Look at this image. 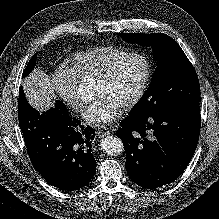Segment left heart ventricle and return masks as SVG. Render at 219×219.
Instances as JSON below:
<instances>
[{"label":"left heart ventricle","mask_w":219,"mask_h":219,"mask_svg":"<svg viewBox=\"0 0 219 219\" xmlns=\"http://www.w3.org/2000/svg\"><path fill=\"white\" fill-rule=\"evenodd\" d=\"M144 73L143 60L138 57L130 58L108 82L97 81L96 95L107 96L122 107L137 92Z\"/></svg>","instance_id":"1"}]
</instances>
